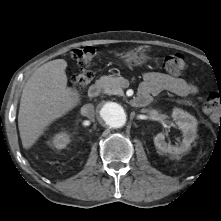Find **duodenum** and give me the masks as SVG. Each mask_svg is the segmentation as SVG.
I'll return each instance as SVG.
<instances>
[{
  "label": "duodenum",
  "mask_w": 221,
  "mask_h": 221,
  "mask_svg": "<svg viewBox=\"0 0 221 221\" xmlns=\"http://www.w3.org/2000/svg\"><path fill=\"white\" fill-rule=\"evenodd\" d=\"M101 91V84L96 82L90 86L88 90V96L91 98H95L99 95ZM152 102V98L150 95L146 93H139L136 97L132 99V104L135 107H145Z\"/></svg>",
  "instance_id": "obj_1"
}]
</instances>
